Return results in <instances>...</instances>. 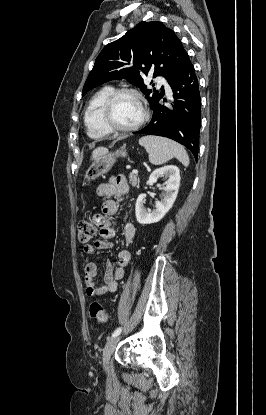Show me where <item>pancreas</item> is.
Instances as JSON below:
<instances>
[{
  "label": "pancreas",
  "instance_id": "obj_1",
  "mask_svg": "<svg viewBox=\"0 0 266 415\" xmlns=\"http://www.w3.org/2000/svg\"><path fill=\"white\" fill-rule=\"evenodd\" d=\"M129 181L132 186H135L137 184V174H130Z\"/></svg>",
  "mask_w": 266,
  "mask_h": 415
}]
</instances>
